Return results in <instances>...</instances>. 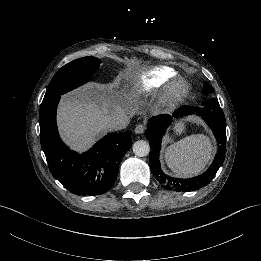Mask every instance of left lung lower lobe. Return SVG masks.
<instances>
[{"label":"left lung lower lobe","instance_id":"1","mask_svg":"<svg viewBox=\"0 0 261 261\" xmlns=\"http://www.w3.org/2000/svg\"><path fill=\"white\" fill-rule=\"evenodd\" d=\"M197 113L200 115L212 129L215 134L219 151L215 155L211 166L201 175L189 179L175 178L169 176L161 169L159 161V152L161 148V140L166 128L172 122V116L164 114L152 117L148 121L145 136L149 140L152 147L150 152V168L157 181L166 189L175 190L177 192H189L199 190L208 185L216 175L225 159V141H226V121L224 113L216 98L207 100L202 107L182 106L173 113V117Z\"/></svg>","mask_w":261,"mask_h":261}]
</instances>
